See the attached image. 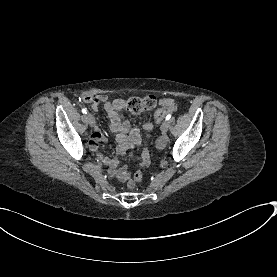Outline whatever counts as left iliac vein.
Returning <instances> with one entry per match:
<instances>
[{
	"mask_svg": "<svg viewBox=\"0 0 277 277\" xmlns=\"http://www.w3.org/2000/svg\"><path fill=\"white\" fill-rule=\"evenodd\" d=\"M168 129H169V122L166 120L162 123L161 130H162V132H167Z\"/></svg>",
	"mask_w": 277,
	"mask_h": 277,
	"instance_id": "1",
	"label": "left iliac vein"
}]
</instances>
